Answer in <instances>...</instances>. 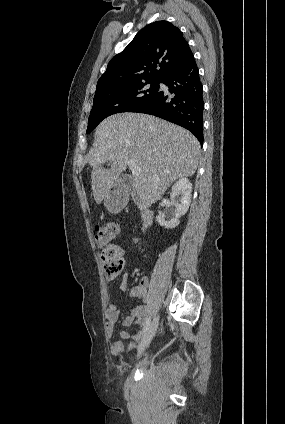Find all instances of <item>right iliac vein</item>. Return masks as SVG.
Returning <instances> with one entry per match:
<instances>
[{
  "label": "right iliac vein",
  "instance_id": "63e3f726",
  "mask_svg": "<svg viewBox=\"0 0 285 424\" xmlns=\"http://www.w3.org/2000/svg\"><path fill=\"white\" fill-rule=\"evenodd\" d=\"M158 323H159V315H156L138 345V349H137L138 355H140L150 345L152 339L154 338L156 334Z\"/></svg>",
  "mask_w": 285,
  "mask_h": 424
}]
</instances>
